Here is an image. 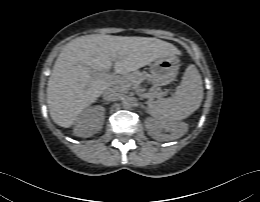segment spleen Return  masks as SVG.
I'll return each mask as SVG.
<instances>
[{"label":"spleen","mask_w":260,"mask_h":202,"mask_svg":"<svg viewBox=\"0 0 260 202\" xmlns=\"http://www.w3.org/2000/svg\"><path fill=\"white\" fill-rule=\"evenodd\" d=\"M202 99V79L197 68L191 64L185 70L175 96L151 101L148 104V113L161 122L179 121L196 111ZM183 133L184 129L181 128L175 138L181 137Z\"/></svg>","instance_id":"3e777b00"}]
</instances>
